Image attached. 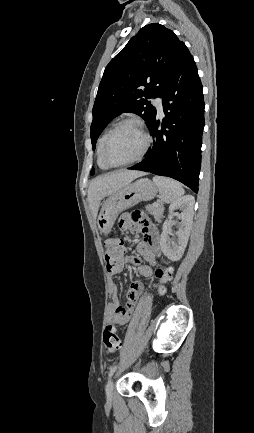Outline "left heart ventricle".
<instances>
[{"mask_svg":"<svg viewBox=\"0 0 254 433\" xmlns=\"http://www.w3.org/2000/svg\"><path fill=\"white\" fill-rule=\"evenodd\" d=\"M144 137L134 125L117 130L105 147V157L113 163H123L136 157L142 150Z\"/></svg>","mask_w":254,"mask_h":433,"instance_id":"obj_1","label":"left heart ventricle"}]
</instances>
